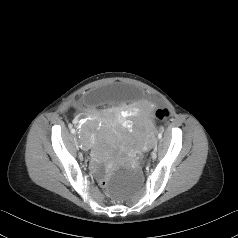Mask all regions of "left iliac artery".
Segmentation results:
<instances>
[{"instance_id": "obj_1", "label": "left iliac artery", "mask_w": 238, "mask_h": 238, "mask_svg": "<svg viewBox=\"0 0 238 238\" xmlns=\"http://www.w3.org/2000/svg\"><path fill=\"white\" fill-rule=\"evenodd\" d=\"M162 137V133H159L158 134V138L160 139Z\"/></svg>"}]
</instances>
